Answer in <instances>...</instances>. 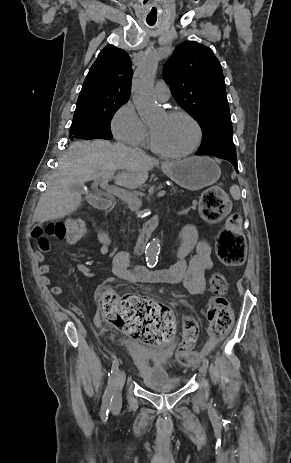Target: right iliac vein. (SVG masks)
Here are the masks:
<instances>
[{
  "mask_svg": "<svg viewBox=\"0 0 291 463\" xmlns=\"http://www.w3.org/2000/svg\"><path fill=\"white\" fill-rule=\"evenodd\" d=\"M126 380V373L124 370L119 371L118 382L114 388V398L112 402V409L118 410L121 406V392Z\"/></svg>",
  "mask_w": 291,
  "mask_h": 463,
  "instance_id": "63e3f726",
  "label": "right iliac vein"
}]
</instances>
